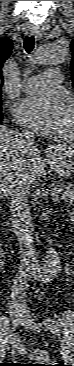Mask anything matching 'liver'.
Segmentation results:
<instances>
[{"mask_svg": "<svg viewBox=\"0 0 74 366\" xmlns=\"http://www.w3.org/2000/svg\"><path fill=\"white\" fill-rule=\"evenodd\" d=\"M44 174V162L36 148L28 150L20 144V136L0 126V193L9 196L14 181L28 186L36 185Z\"/></svg>", "mask_w": 74, "mask_h": 366, "instance_id": "6515ba94", "label": "liver"}]
</instances>
